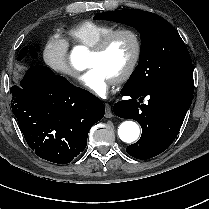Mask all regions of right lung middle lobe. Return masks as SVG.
Returning <instances> with one entry per match:
<instances>
[{"label": "right lung middle lobe", "mask_w": 209, "mask_h": 209, "mask_svg": "<svg viewBox=\"0 0 209 209\" xmlns=\"http://www.w3.org/2000/svg\"><path fill=\"white\" fill-rule=\"evenodd\" d=\"M27 50H28V47H23V48L20 50L19 56H18V60H21L22 58H24V57L26 56ZM38 50H39V47H38V46H36V48H35V47H32V48L30 49V54H31V56H32L33 58H36V57H37L36 51H38Z\"/></svg>", "instance_id": "dd1d6c3e"}]
</instances>
